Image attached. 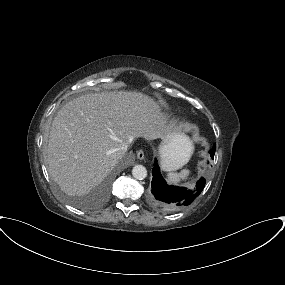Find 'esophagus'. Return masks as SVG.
<instances>
[{
    "label": "esophagus",
    "mask_w": 285,
    "mask_h": 285,
    "mask_svg": "<svg viewBox=\"0 0 285 285\" xmlns=\"http://www.w3.org/2000/svg\"><path fill=\"white\" fill-rule=\"evenodd\" d=\"M137 158L139 160H143L144 159V152H143V150L137 151Z\"/></svg>",
    "instance_id": "34e87169"
}]
</instances>
